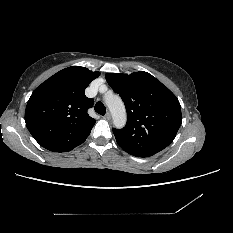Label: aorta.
<instances>
[{
	"instance_id": "obj_1",
	"label": "aorta",
	"mask_w": 233,
	"mask_h": 233,
	"mask_svg": "<svg viewBox=\"0 0 233 233\" xmlns=\"http://www.w3.org/2000/svg\"><path fill=\"white\" fill-rule=\"evenodd\" d=\"M106 104L112 114L115 127L122 128L126 124V110L123 101L118 95L106 98Z\"/></svg>"
}]
</instances>
